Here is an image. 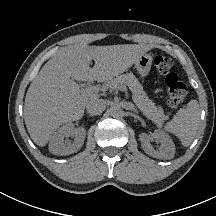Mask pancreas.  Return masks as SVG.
Wrapping results in <instances>:
<instances>
[{
    "mask_svg": "<svg viewBox=\"0 0 216 216\" xmlns=\"http://www.w3.org/2000/svg\"><path fill=\"white\" fill-rule=\"evenodd\" d=\"M111 89H118V86L127 85L132 91L133 100L143 114L155 124L161 125L167 118L161 106L155 104L147 97L142 85L133 73H126L107 81L106 84Z\"/></svg>",
    "mask_w": 216,
    "mask_h": 216,
    "instance_id": "cf45deb5",
    "label": "pancreas"
}]
</instances>
